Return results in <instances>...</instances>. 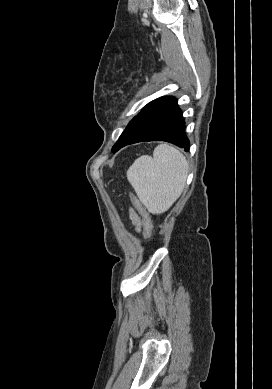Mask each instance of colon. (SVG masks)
Returning a JSON list of instances; mask_svg holds the SVG:
<instances>
[{
  "instance_id": "1",
  "label": "colon",
  "mask_w": 272,
  "mask_h": 389,
  "mask_svg": "<svg viewBox=\"0 0 272 389\" xmlns=\"http://www.w3.org/2000/svg\"><path fill=\"white\" fill-rule=\"evenodd\" d=\"M133 203L139 216L141 217L142 224L144 227V236L147 240H150L153 236V223L151 217L147 210L144 208V206L135 196H133Z\"/></svg>"
}]
</instances>
